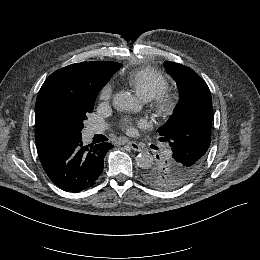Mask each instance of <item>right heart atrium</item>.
Returning a JSON list of instances; mask_svg holds the SVG:
<instances>
[{"mask_svg":"<svg viewBox=\"0 0 260 260\" xmlns=\"http://www.w3.org/2000/svg\"><path fill=\"white\" fill-rule=\"evenodd\" d=\"M114 94V86L112 83H106L99 91V98L102 101H110Z\"/></svg>","mask_w":260,"mask_h":260,"instance_id":"right-heart-atrium-1","label":"right heart atrium"}]
</instances>
